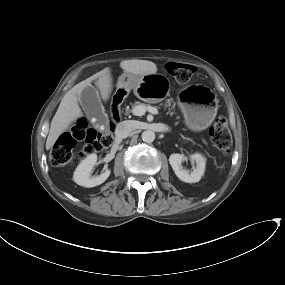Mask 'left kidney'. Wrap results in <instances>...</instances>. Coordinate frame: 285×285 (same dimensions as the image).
Listing matches in <instances>:
<instances>
[{"mask_svg":"<svg viewBox=\"0 0 285 285\" xmlns=\"http://www.w3.org/2000/svg\"><path fill=\"white\" fill-rule=\"evenodd\" d=\"M188 157L184 154L174 153L169 157V163L176 176L183 182L196 183L199 182L205 171L206 159L200 153L192 154L189 159L195 164L193 171L184 169L182 162L187 161Z\"/></svg>","mask_w":285,"mask_h":285,"instance_id":"obj_1","label":"left kidney"}]
</instances>
